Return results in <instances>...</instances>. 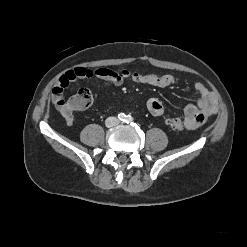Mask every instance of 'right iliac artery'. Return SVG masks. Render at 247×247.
<instances>
[{"label":"right iliac artery","mask_w":247,"mask_h":247,"mask_svg":"<svg viewBox=\"0 0 247 247\" xmlns=\"http://www.w3.org/2000/svg\"><path fill=\"white\" fill-rule=\"evenodd\" d=\"M118 119H119L120 121H125L126 115H125L124 113H119V114H118Z\"/></svg>","instance_id":"1"}]
</instances>
